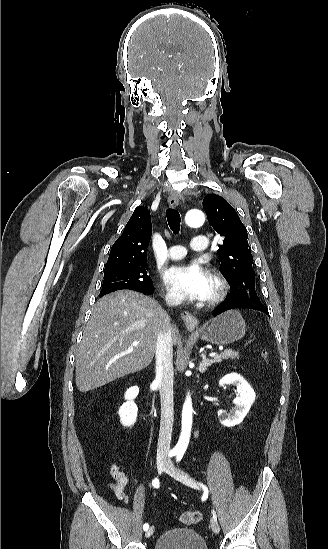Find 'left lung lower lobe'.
Wrapping results in <instances>:
<instances>
[{
    "instance_id": "left-lung-lower-lobe-1",
    "label": "left lung lower lobe",
    "mask_w": 328,
    "mask_h": 549,
    "mask_svg": "<svg viewBox=\"0 0 328 549\" xmlns=\"http://www.w3.org/2000/svg\"><path fill=\"white\" fill-rule=\"evenodd\" d=\"M236 308L254 309L269 315L267 307L262 305L260 299L251 301V300H243V299H236V298H228L223 304H221L220 306L214 309V316H217L227 310L236 309Z\"/></svg>"
}]
</instances>
